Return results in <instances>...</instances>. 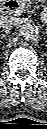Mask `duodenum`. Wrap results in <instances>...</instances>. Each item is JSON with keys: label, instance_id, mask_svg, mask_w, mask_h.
<instances>
[{"label": "duodenum", "instance_id": "1", "mask_svg": "<svg viewBox=\"0 0 47 129\" xmlns=\"http://www.w3.org/2000/svg\"><path fill=\"white\" fill-rule=\"evenodd\" d=\"M13 7H17L16 2L15 1H6L4 4V12L8 13L11 12Z\"/></svg>", "mask_w": 47, "mask_h": 129}]
</instances>
